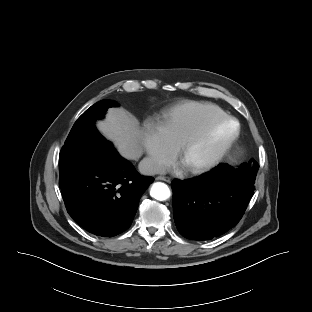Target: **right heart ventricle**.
I'll list each match as a JSON object with an SVG mask.
<instances>
[{"label":"right heart ventricle","instance_id":"1","mask_svg":"<svg viewBox=\"0 0 312 312\" xmlns=\"http://www.w3.org/2000/svg\"><path fill=\"white\" fill-rule=\"evenodd\" d=\"M227 116L219 106L205 102H186L171 108L162 116L165 131L178 147L212 121Z\"/></svg>","mask_w":312,"mask_h":312}]
</instances>
